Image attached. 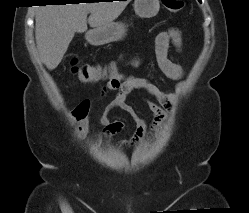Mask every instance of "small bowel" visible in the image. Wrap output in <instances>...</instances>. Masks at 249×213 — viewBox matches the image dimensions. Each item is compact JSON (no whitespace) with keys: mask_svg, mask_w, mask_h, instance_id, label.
<instances>
[{"mask_svg":"<svg viewBox=\"0 0 249 213\" xmlns=\"http://www.w3.org/2000/svg\"><path fill=\"white\" fill-rule=\"evenodd\" d=\"M171 46H174L178 50L182 46L181 32L177 28H170L157 35L155 39V54L160 70L171 79L181 80L184 78L186 72L181 65L169 59L168 53ZM125 63L134 66L138 65L139 61L132 59ZM182 88L183 83H179L176 93H167L151 81L139 77L127 76L122 72H116L114 76L108 78L106 85L101 91V96H105L109 91L118 90L116 97L108 104L99 118L100 124L103 126L101 132L102 141H106L112 134L122 131L125 126L122 120H110L109 115L115 109H120L129 114L136 124L134 136L130 140L122 141L121 145L132 146L142 140L146 131V123L138 115L135 108L128 103V98L132 92L141 91L156 100L146 99V103L153 114L149 128V135L152 136L161 126L166 117V111L171 110ZM90 106V101L84 100L73 111L74 117L84 127L88 124Z\"/></svg>","mask_w":249,"mask_h":213,"instance_id":"c3829d8e","label":"small bowel"}]
</instances>
